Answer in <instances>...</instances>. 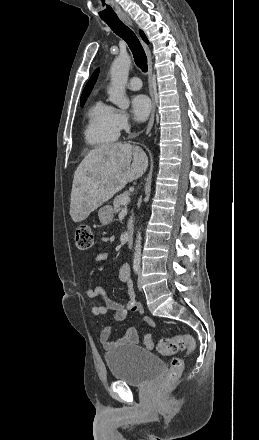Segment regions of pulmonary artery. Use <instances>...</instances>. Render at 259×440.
<instances>
[{"label": "pulmonary artery", "mask_w": 259, "mask_h": 440, "mask_svg": "<svg viewBox=\"0 0 259 440\" xmlns=\"http://www.w3.org/2000/svg\"><path fill=\"white\" fill-rule=\"evenodd\" d=\"M142 87L141 79L137 76L130 78L128 88L131 90H139Z\"/></svg>", "instance_id": "1"}]
</instances>
